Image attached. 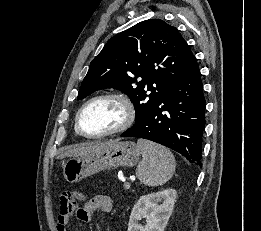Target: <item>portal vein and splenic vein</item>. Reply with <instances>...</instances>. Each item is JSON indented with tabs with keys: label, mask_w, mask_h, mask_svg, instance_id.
<instances>
[{
	"label": "portal vein and splenic vein",
	"mask_w": 261,
	"mask_h": 231,
	"mask_svg": "<svg viewBox=\"0 0 261 231\" xmlns=\"http://www.w3.org/2000/svg\"><path fill=\"white\" fill-rule=\"evenodd\" d=\"M125 185L128 186V187H130V184H129L128 182H125Z\"/></svg>",
	"instance_id": "18ae733b"
}]
</instances>
